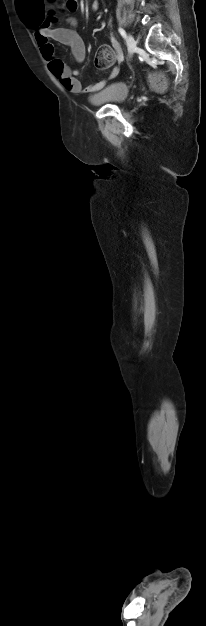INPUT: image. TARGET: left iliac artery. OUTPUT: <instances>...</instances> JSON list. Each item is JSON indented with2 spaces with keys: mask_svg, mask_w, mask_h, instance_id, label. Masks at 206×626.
Masks as SVG:
<instances>
[{
  "mask_svg": "<svg viewBox=\"0 0 206 626\" xmlns=\"http://www.w3.org/2000/svg\"><path fill=\"white\" fill-rule=\"evenodd\" d=\"M118 31H119V33L121 34V36L123 38H126V32H125V30L123 28H119Z\"/></svg>",
  "mask_w": 206,
  "mask_h": 626,
  "instance_id": "44dca946",
  "label": "left iliac artery"
}]
</instances>
